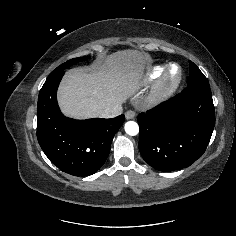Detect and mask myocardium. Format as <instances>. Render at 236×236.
I'll list each match as a JSON object with an SVG mask.
<instances>
[{"mask_svg":"<svg viewBox=\"0 0 236 236\" xmlns=\"http://www.w3.org/2000/svg\"><path fill=\"white\" fill-rule=\"evenodd\" d=\"M173 68H177V73L175 75H172ZM182 79H183L182 68L178 64L175 63L170 64L164 71L161 79L159 80L154 89L152 97L153 100L162 101L168 98L180 86Z\"/></svg>","mask_w":236,"mask_h":236,"instance_id":"obj_1","label":"myocardium"}]
</instances>
